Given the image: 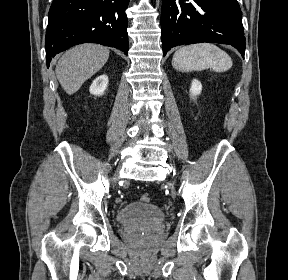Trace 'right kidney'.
Segmentation results:
<instances>
[{"instance_id":"ca27d5eb","label":"right kidney","mask_w":288,"mask_h":280,"mask_svg":"<svg viewBox=\"0 0 288 280\" xmlns=\"http://www.w3.org/2000/svg\"><path fill=\"white\" fill-rule=\"evenodd\" d=\"M108 86V76L101 75L97 77L90 86V93L93 95H102Z\"/></svg>"}]
</instances>
